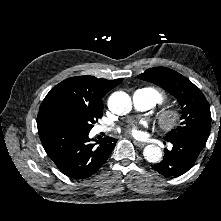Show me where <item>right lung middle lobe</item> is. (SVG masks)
Segmentation results:
<instances>
[{"mask_svg": "<svg viewBox=\"0 0 221 221\" xmlns=\"http://www.w3.org/2000/svg\"><path fill=\"white\" fill-rule=\"evenodd\" d=\"M101 117L102 115L83 112L61 117L56 123L82 133H89L93 124Z\"/></svg>", "mask_w": 221, "mask_h": 221, "instance_id": "obj_1", "label": "right lung middle lobe"}]
</instances>
